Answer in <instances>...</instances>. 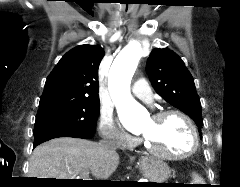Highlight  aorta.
I'll use <instances>...</instances> for the list:
<instances>
[{"instance_id": "1", "label": "aorta", "mask_w": 240, "mask_h": 187, "mask_svg": "<svg viewBox=\"0 0 240 187\" xmlns=\"http://www.w3.org/2000/svg\"><path fill=\"white\" fill-rule=\"evenodd\" d=\"M142 51L138 43L126 46L115 58L108 76V88L118 113L129 114L134 120L144 117L145 110L130 92L132 77L137 68Z\"/></svg>"}]
</instances>
